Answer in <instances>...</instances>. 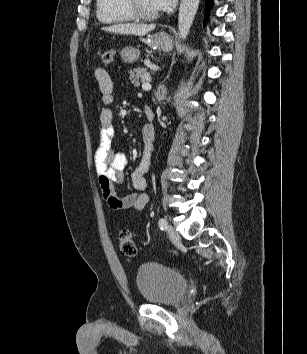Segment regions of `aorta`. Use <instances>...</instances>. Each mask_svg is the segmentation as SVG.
Here are the masks:
<instances>
[{
	"mask_svg": "<svg viewBox=\"0 0 307 354\" xmlns=\"http://www.w3.org/2000/svg\"><path fill=\"white\" fill-rule=\"evenodd\" d=\"M200 0H181L178 15V34L185 40L189 34Z\"/></svg>",
	"mask_w": 307,
	"mask_h": 354,
	"instance_id": "aorta-1",
	"label": "aorta"
}]
</instances>
